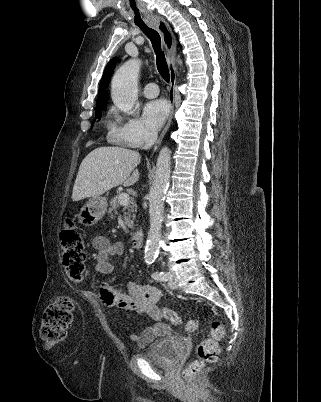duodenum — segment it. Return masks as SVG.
<instances>
[{
    "instance_id": "obj_1",
    "label": "duodenum",
    "mask_w": 321,
    "mask_h": 402,
    "mask_svg": "<svg viewBox=\"0 0 321 402\" xmlns=\"http://www.w3.org/2000/svg\"><path fill=\"white\" fill-rule=\"evenodd\" d=\"M144 241V233L142 230H137L130 237V243L133 248L139 249L142 247Z\"/></svg>"
}]
</instances>
